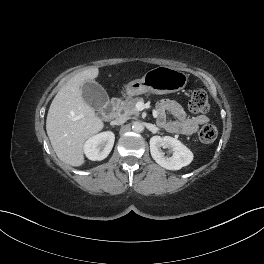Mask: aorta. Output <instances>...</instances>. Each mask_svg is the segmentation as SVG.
Returning <instances> with one entry per match:
<instances>
[{"mask_svg": "<svg viewBox=\"0 0 264 264\" xmlns=\"http://www.w3.org/2000/svg\"><path fill=\"white\" fill-rule=\"evenodd\" d=\"M132 130L134 132L139 133V132H142L144 130V126L141 122H134L133 126H132Z\"/></svg>", "mask_w": 264, "mask_h": 264, "instance_id": "obj_1", "label": "aorta"}]
</instances>
